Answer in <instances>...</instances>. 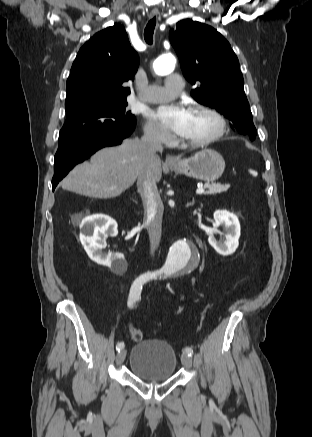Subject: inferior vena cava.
<instances>
[{
	"mask_svg": "<svg viewBox=\"0 0 312 437\" xmlns=\"http://www.w3.org/2000/svg\"><path fill=\"white\" fill-rule=\"evenodd\" d=\"M143 154L148 163L145 173L138 177L137 187L141 195L147 230L150 239V251L154 252L160 243L162 234L163 203L160 198L151 165L157 159L156 152H162V143L155 132L148 131L141 137Z\"/></svg>",
	"mask_w": 312,
	"mask_h": 437,
	"instance_id": "602c4592",
	"label": "inferior vena cava"
}]
</instances>
